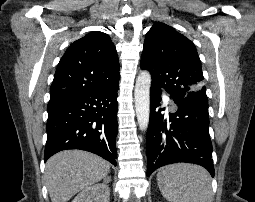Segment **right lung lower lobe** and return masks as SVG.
<instances>
[{"label": "right lung lower lobe", "mask_w": 255, "mask_h": 202, "mask_svg": "<svg viewBox=\"0 0 255 202\" xmlns=\"http://www.w3.org/2000/svg\"><path fill=\"white\" fill-rule=\"evenodd\" d=\"M117 91L118 82L50 100L44 160L61 150L81 149L116 166Z\"/></svg>", "instance_id": "1"}]
</instances>
